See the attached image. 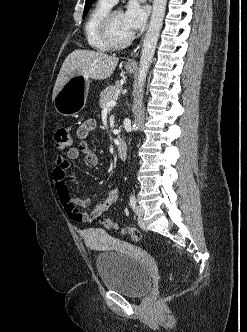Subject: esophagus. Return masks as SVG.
Segmentation results:
<instances>
[{
	"label": "esophagus",
	"instance_id": "esophagus-1",
	"mask_svg": "<svg viewBox=\"0 0 247 332\" xmlns=\"http://www.w3.org/2000/svg\"><path fill=\"white\" fill-rule=\"evenodd\" d=\"M142 41L139 42V44L134 48L132 54H131V59L128 60L127 65L132 66L134 65L135 59L138 56V53L141 48Z\"/></svg>",
	"mask_w": 247,
	"mask_h": 332
}]
</instances>
